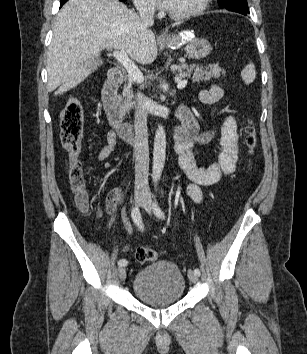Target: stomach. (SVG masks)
<instances>
[{
	"label": "stomach",
	"mask_w": 307,
	"mask_h": 354,
	"mask_svg": "<svg viewBox=\"0 0 307 354\" xmlns=\"http://www.w3.org/2000/svg\"><path fill=\"white\" fill-rule=\"evenodd\" d=\"M160 42L169 49H178L185 44L186 56L195 60L205 58L212 50L209 41L205 38H195L193 31H183L179 34L168 35Z\"/></svg>",
	"instance_id": "1"
}]
</instances>
